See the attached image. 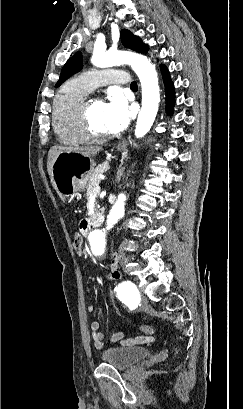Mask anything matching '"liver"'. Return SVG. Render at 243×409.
Listing matches in <instances>:
<instances>
[{
  "instance_id": "1",
  "label": "liver",
  "mask_w": 243,
  "mask_h": 409,
  "mask_svg": "<svg viewBox=\"0 0 243 409\" xmlns=\"http://www.w3.org/2000/svg\"><path fill=\"white\" fill-rule=\"evenodd\" d=\"M63 151H74L77 153H80L81 155L88 157L91 159V157L95 156L97 153L102 151V147L100 146H90V147H75V148H67V147H60V146H53L48 153V162H47V170L49 173V176L51 178V183L54 186L53 182V170H52V165L57 157L58 154H60ZM60 198L64 200V197L58 192Z\"/></svg>"
}]
</instances>
